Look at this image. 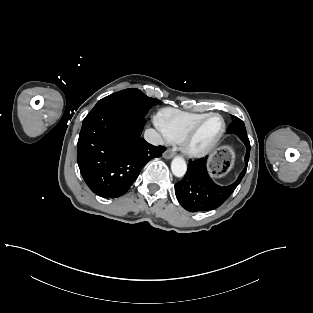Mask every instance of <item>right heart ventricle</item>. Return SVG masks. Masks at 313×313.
Instances as JSON below:
<instances>
[{
    "mask_svg": "<svg viewBox=\"0 0 313 313\" xmlns=\"http://www.w3.org/2000/svg\"><path fill=\"white\" fill-rule=\"evenodd\" d=\"M206 115V113L164 109L158 114L157 125L168 141L179 143L188 130Z\"/></svg>",
    "mask_w": 313,
    "mask_h": 313,
    "instance_id": "obj_1",
    "label": "right heart ventricle"
}]
</instances>
